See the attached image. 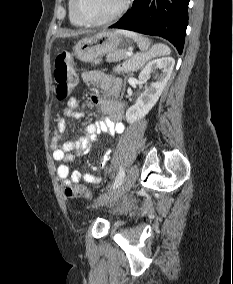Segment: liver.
<instances>
[{
	"label": "liver",
	"instance_id": "obj_1",
	"mask_svg": "<svg viewBox=\"0 0 233 284\" xmlns=\"http://www.w3.org/2000/svg\"><path fill=\"white\" fill-rule=\"evenodd\" d=\"M85 33V31H77V32H61L57 37H72V36H78L80 34Z\"/></svg>",
	"mask_w": 233,
	"mask_h": 284
}]
</instances>
